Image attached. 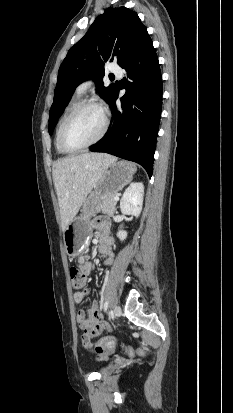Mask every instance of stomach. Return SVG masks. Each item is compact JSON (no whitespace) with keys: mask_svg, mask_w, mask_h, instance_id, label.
<instances>
[{"mask_svg":"<svg viewBox=\"0 0 233 413\" xmlns=\"http://www.w3.org/2000/svg\"><path fill=\"white\" fill-rule=\"evenodd\" d=\"M135 171V166L127 161H115L105 168L93 191L83 203L80 216L74 217L63 231L66 253L70 257L78 256L86 246L92 233L90 218L97 213L96 206L100 199L116 194L129 184Z\"/></svg>","mask_w":233,"mask_h":413,"instance_id":"0dacf381","label":"stomach"}]
</instances>
